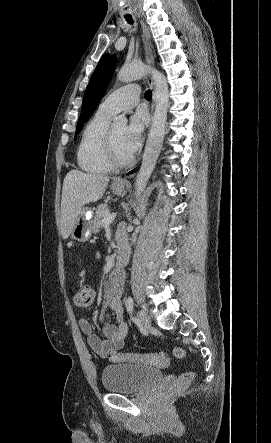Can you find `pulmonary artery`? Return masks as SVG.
<instances>
[{
	"mask_svg": "<svg viewBox=\"0 0 271 443\" xmlns=\"http://www.w3.org/2000/svg\"><path fill=\"white\" fill-rule=\"evenodd\" d=\"M140 88L135 85L123 86L108 94L98 107V111L113 115L123 110H128L139 103Z\"/></svg>",
	"mask_w": 271,
	"mask_h": 443,
	"instance_id": "e3ab8cb5",
	"label": "pulmonary artery"
}]
</instances>
